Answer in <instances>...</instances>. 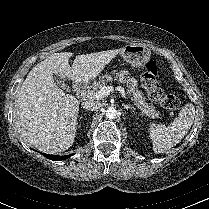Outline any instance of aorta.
Returning <instances> with one entry per match:
<instances>
[{
  "label": "aorta",
  "mask_w": 209,
  "mask_h": 209,
  "mask_svg": "<svg viewBox=\"0 0 209 209\" xmlns=\"http://www.w3.org/2000/svg\"><path fill=\"white\" fill-rule=\"evenodd\" d=\"M105 112L106 118L108 119H114L117 116V110L114 107H109Z\"/></svg>",
  "instance_id": "obj_1"
}]
</instances>
